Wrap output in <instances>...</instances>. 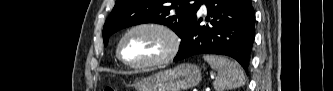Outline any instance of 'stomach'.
<instances>
[{"mask_svg": "<svg viewBox=\"0 0 333 91\" xmlns=\"http://www.w3.org/2000/svg\"><path fill=\"white\" fill-rule=\"evenodd\" d=\"M201 69L196 64L184 63L159 71L135 83L138 91H185L199 84Z\"/></svg>", "mask_w": 333, "mask_h": 91, "instance_id": "stomach-1", "label": "stomach"}]
</instances>
